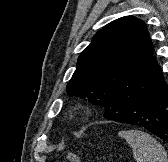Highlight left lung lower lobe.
I'll return each instance as SVG.
<instances>
[{
  "label": "left lung lower lobe",
  "mask_w": 168,
  "mask_h": 162,
  "mask_svg": "<svg viewBox=\"0 0 168 162\" xmlns=\"http://www.w3.org/2000/svg\"><path fill=\"white\" fill-rule=\"evenodd\" d=\"M153 51L114 89L103 116L107 120L143 127L168 142V86Z\"/></svg>",
  "instance_id": "0a47b994"
}]
</instances>
